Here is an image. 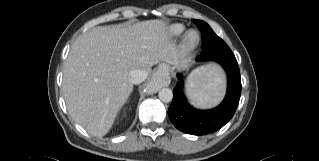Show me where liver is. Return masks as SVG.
I'll return each mask as SVG.
<instances>
[{"mask_svg":"<svg viewBox=\"0 0 319 161\" xmlns=\"http://www.w3.org/2000/svg\"><path fill=\"white\" fill-rule=\"evenodd\" d=\"M176 55L166 23L147 20L131 26H99L71 46L63 71V97L70 116L96 137L104 136L133 90L129 73Z\"/></svg>","mask_w":319,"mask_h":161,"instance_id":"liver-1","label":"liver"}]
</instances>
